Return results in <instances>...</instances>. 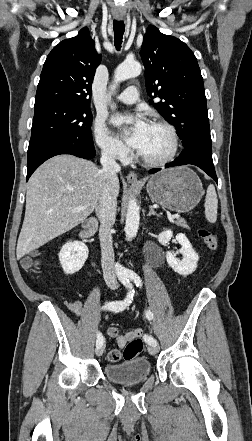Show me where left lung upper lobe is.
<instances>
[{
  "mask_svg": "<svg viewBox=\"0 0 252 441\" xmlns=\"http://www.w3.org/2000/svg\"><path fill=\"white\" fill-rule=\"evenodd\" d=\"M140 55L150 103L155 97L163 100L154 107L175 126L183 146L200 139L211 141L203 78L190 48L150 25Z\"/></svg>",
  "mask_w": 252,
  "mask_h": 441,
  "instance_id": "left-lung-upper-lobe-1",
  "label": "left lung upper lobe"
}]
</instances>
